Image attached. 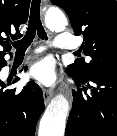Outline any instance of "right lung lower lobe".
<instances>
[{"label": "right lung lower lobe", "mask_w": 117, "mask_h": 136, "mask_svg": "<svg viewBox=\"0 0 117 136\" xmlns=\"http://www.w3.org/2000/svg\"><path fill=\"white\" fill-rule=\"evenodd\" d=\"M7 62L0 59V70ZM19 81L16 77L12 84ZM0 80V136H34L36 123L44 110L41 88L33 81L21 89H5Z\"/></svg>", "instance_id": "obj_1"}]
</instances>
